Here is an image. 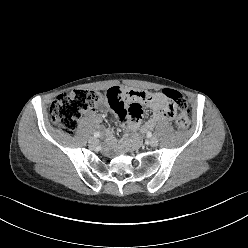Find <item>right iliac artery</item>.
<instances>
[{"instance_id": "right-iliac-artery-1", "label": "right iliac artery", "mask_w": 248, "mask_h": 248, "mask_svg": "<svg viewBox=\"0 0 248 248\" xmlns=\"http://www.w3.org/2000/svg\"><path fill=\"white\" fill-rule=\"evenodd\" d=\"M95 137H100V134L98 132H94Z\"/></svg>"}]
</instances>
